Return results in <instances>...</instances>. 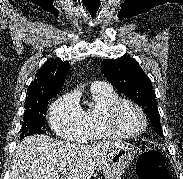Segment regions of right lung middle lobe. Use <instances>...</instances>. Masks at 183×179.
<instances>
[{"label":"right lung middle lobe","mask_w":183,"mask_h":179,"mask_svg":"<svg viewBox=\"0 0 183 179\" xmlns=\"http://www.w3.org/2000/svg\"><path fill=\"white\" fill-rule=\"evenodd\" d=\"M48 99L50 98L25 106L20 138L42 133L41 128L45 123V113L48 106Z\"/></svg>","instance_id":"right-lung-middle-lobe-1"}]
</instances>
